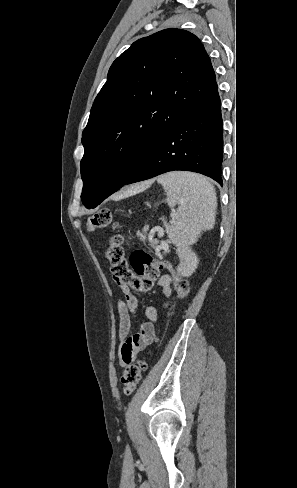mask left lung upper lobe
<instances>
[{"label":"left lung upper lobe","mask_w":297,"mask_h":488,"mask_svg":"<svg viewBox=\"0 0 297 488\" xmlns=\"http://www.w3.org/2000/svg\"><path fill=\"white\" fill-rule=\"evenodd\" d=\"M216 90L210 59L192 33L170 28L134 42L111 65L82 133L85 207L95 208L125 185Z\"/></svg>","instance_id":"1"}]
</instances>
